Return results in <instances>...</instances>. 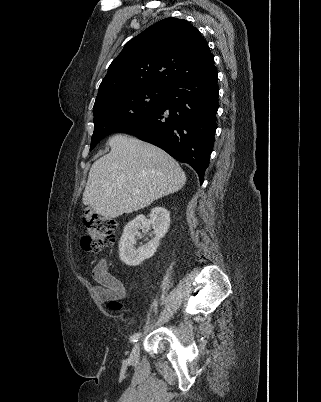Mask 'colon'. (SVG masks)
Returning a JSON list of instances; mask_svg holds the SVG:
<instances>
[{"mask_svg": "<svg viewBox=\"0 0 321 402\" xmlns=\"http://www.w3.org/2000/svg\"><path fill=\"white\" fill-rule=\"evenodd\" d=\"M82 221L87 229V235L81 240L84 251L99 252L115 242L118 229L115 219L102 217L87 210L82 215Z\"/></svg>", "mask_w": 321, "mask_h": 402, "instance_id": "obj_1", "label": "colon"}]
</instances>
